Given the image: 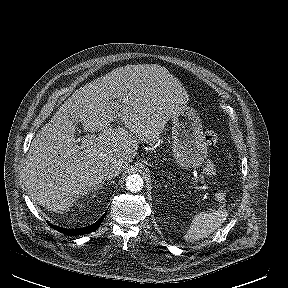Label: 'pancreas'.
Here are the masks:
<instances>
[{
  "label": "pancreas",
  "mask_w": 288,
  "mask_h": 288,
  "mask_svg": "<svg viewBox=\"0 0 288 288\" xmlns=\"http://www.w3.org/2000/svg\"><path fill=\"white\" fill-rule=\"evenodd\" d=\"M205 166H206V167H205V172H206V173H209V172H211V171L214 170V164H213V162L210 161V160H208V161L206 162Z\"/></svg>",
  "instance_id": "cf45deb5"
}]
</instances>
